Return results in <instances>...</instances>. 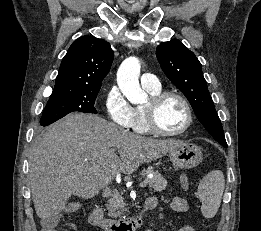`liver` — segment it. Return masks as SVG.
Wrapping results in <instances>:
<instances>
[{
  "label": "liver",
  "mask_w": 261,
  "mask_h": 231,
  "mask_svg": "<svg viewBox=\"0 0 261 231\" xmlns=\"http://www.w3.org/2000/svg\"><path fill=\"white\" fill-rule=\"evenodd\" d=\"M179 140H157L91 114L72 113L48 126L34 142L29 179L36 214L56 217L72 195L91 198L119 174L156 160Z\"/></svg>",
  "instance_id": "liver-1"
}]
</instances>
